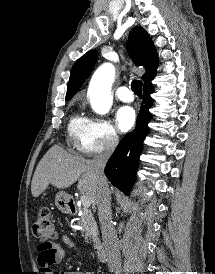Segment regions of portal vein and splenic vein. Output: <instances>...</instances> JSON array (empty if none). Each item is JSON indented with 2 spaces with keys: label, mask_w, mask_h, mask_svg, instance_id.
Returning <instances> with one entry per match:
<instances>
[{
  "label": "portal vein and splenic vein",
  "mask_w": 215,
  "mask_h": 274,
  "mask_svg": "<svg viewBox=\"0 0 215 274\" xmlns=\"http://www.w3.org/2000/svg\"><path fill=\"white\" fill-rule=\"evenodd\" d=\"M80 201H81L82 206H83L84 208H89L90 205H91L90 199H89L86 195H82V196L80 197Z\"/></svg>",
  "instance_id": "obj_1"
}]
</instances>
